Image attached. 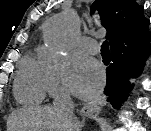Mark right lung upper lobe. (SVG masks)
<instances>
[{
    "label": "right lung upper lobe",
    "instance_id": "cb5924a9",
    "mask_svg": "<svg viewBox=\"0 0 151 131\" xmlns=\"http://www.w3.org/2000/svg\"><path fill=\"white\" fill-rule=\"evenodd\" d=\"M99 10L102 25L111 50L131 46L134 49L150 48L149 20L143 16V7L135 0H95L91 11Z\"/></svg>",
    "mask_w": 151,
    "mask_h": 131
}]
</instances>
